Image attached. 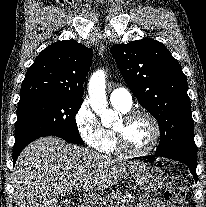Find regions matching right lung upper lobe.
I'll return each instance as SVG.
<instances>
[{
	"mask_svg": "<svg viewBox=\"0 0 206 207\" xmlns=\"http://www.w3.org/2000/svg\"><path fill=\"white\" fill-rule=\"evenodd\" d=\"M92 55V49L75 40L51 44L27 70L20 100L43 95L82 100Z\"/></svg>",
	"mask_w": 206,
	"mask_h": 207,
	"instance_id": "right-lung-upper-lobe-1",
	"label": "right lung upper lobe"
}]
</instances>
